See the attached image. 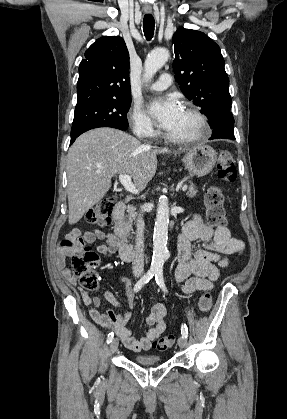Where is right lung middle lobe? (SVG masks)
Masks as SVG:
<instances>
[{"label": "right lung middle lobe", "instance_id": "obj_1", "mask_svg": "<svg viewBox=\"0 0 287 419\" xmlns=\"http://www.w3.org/2000/svg\"><path fill=\"white\" fill-rule=\"evenodd\" d=\"M131 105V98L98 101L80 108H75L71 128V139L83 132L98 127H112L120 130L128 128L126 118Z\"/></svg>", "mask_w": 287, "mask_h": 419}]
</instances>
